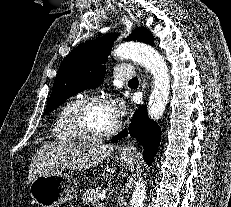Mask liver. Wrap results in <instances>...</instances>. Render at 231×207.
Masks as SVG:
<instances>
[{"label":"liver","mask_w":231,"mask_h":207,"mask_svg":"<svg viewBox=\"0 0 231 207\" xmlns=\"http://www.w3.org/2000/svg\"><path fill=\"white\" fill-rule=\"evenodd\" d=\"M114 147L104 144H46L33 156L30 164L28 184L54 165L68 169L87 170L98 166L110 155Z\"/></svg>","instance_id":"1"}]
</instances>
